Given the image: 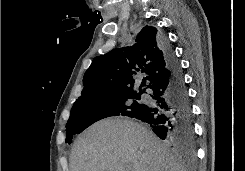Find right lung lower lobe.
<instances>
[{"label":"right lung lower lobe","instance_id":"right-lung-lower-lobe-1","mask_svg":"<svg viewBox=\"0 0 245 171\" xmlns=\"http://www.w3.org/2000/svg\"><path fill=\"white\" fill-rule=\"evenodd\" d=\"M169 73L149 88L154 105H141L132 117L150 124L162 140L184 148H193L194 129L188 91L182 70L166 39H160Z\"/></svg>","mask_w":245,"mask_h":171}]
</instances>
